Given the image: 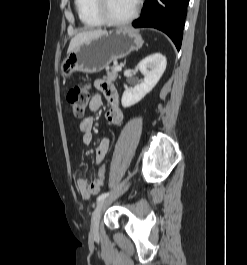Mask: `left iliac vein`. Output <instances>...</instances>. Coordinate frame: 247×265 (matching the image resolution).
Masks as SVG:
<instances>
[{
    "mask_svg": "<svg viewBox=\"0 0 247 265\" xmlns=\"http://www.w3.org/2000/svg\"><path fill=\"white\" fill-rule=\"evenodd\" d=\"M127 189V188H126ZM111 198H106L101 200L96 208L94 209L91 217V231L90 234L92 237H96L99 234V222H100V217L102 214L103 209L107 206L108 203L111 202Z\"/></svg>",
    "mask_w": 247,
    "mask_h": 265,
    "instance_id": "1",
    "label": "left iliac vein"
}]
</instances>
